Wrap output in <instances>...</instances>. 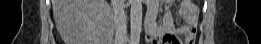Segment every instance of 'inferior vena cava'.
I'll return each instance as SVG.
<instances>
[{
	"instance_id": "obj_1",
	"label": "inferior vena cava",
	"mask_w": 261,
	"mask_h": 44,
	"mask_svg": "<svg viewBox=\"0 0 261 44\" xmlns=\"http://www.w3.org/2000/svg\"><path fill=\"white\" fill-rule=\"evenodd\" d=\"M119 4L113 8V20L117 30V35L124 39L126 38V21H125V11L123 8V0H118Z\"/></svg>"
}]
</instances>
